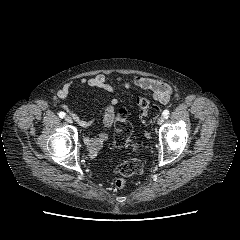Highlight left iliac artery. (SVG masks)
Here are the masks:
<instances>
[{"label": "left iliac artery", "mask_w": 240, "mask_h": 240, "mask_svg": "<svg viewBox=\"0 0 240 240\" xmlns=\"http://www.w3.org/2000/svg\"><path fill=\"white\" fill-rule=\"evenodd\" d=\"M162 115L164 116V118H168L169 117V110H164Z\"/></svg>", "instance_id": "obj_1"}]
</instances>
